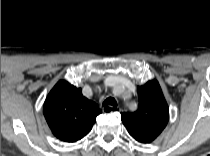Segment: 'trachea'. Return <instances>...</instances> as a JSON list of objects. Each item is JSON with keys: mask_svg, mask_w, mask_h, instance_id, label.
<instances>
[{"mask_svg": "<svg viewBox=\"0 0 210 156\" xmlns=\"http://www.w3.org/2000/svg\"><path fill=\"white\" fill-rule=\"evenodd\" d=\"M102 106H117V102L113 97H109L103 102Z\"/></svg>", "mask_w": 210, "mask_h": 156, "instance_id": "obj_1", "label": "trachea"}]
</instances>
